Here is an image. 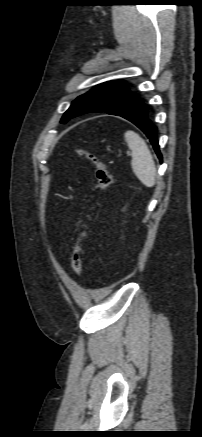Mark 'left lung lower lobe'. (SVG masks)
Segmentation results:
<instances>
[{
    "label": "left lung lower lobe",
    "instance_id": "0a47b994",
    "mask_svg": "<svg viewBox=\"0 0 202 437\" xmlns=\"http://www.w3.org/2000/svg\"><path fill=\"white\" fill-rule=\"evenodd\" d=\"M106 113L121 116L141 129L149 138L160 162H162L157 139V127L149 120L148 107L142 100L135 99Z\"/></svg>",
    "mask_w": 202,
    "mask_h": 437
}]
</instances>
